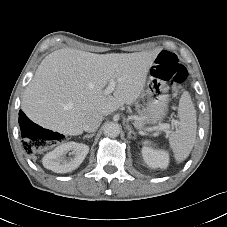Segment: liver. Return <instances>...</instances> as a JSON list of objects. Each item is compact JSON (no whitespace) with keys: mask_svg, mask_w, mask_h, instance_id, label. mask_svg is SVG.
<instances>
[{"mask_svg":"<svg viewBox=\"0 0 227 227\" xmlns=\"http://www.w3.org/2000/svg\"><path fill=\"white\" fill-rule=\"evenodd\" d=\"M157 54H95L70 48L54 51L39 65L21 108L43 128L80 135L88 115L108 116L139 99ZM111 79L116 82L115 90L106 95L104 88Z\"/></svg>","mask_w":227,"mask_h":227,"instance_id":"6515ba94","label":"liver"}]
</instances>
